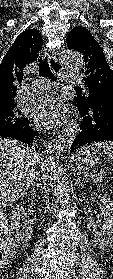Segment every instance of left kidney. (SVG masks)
<instances>
[{"label":"left kidney","mask_w":113,"mask_h":279,"mask_svg":"<svg viewBox=\"0 0 113 279\" xmlns=\"http://www.w3.org/2000/svg\"><path fill=\"white\" fill-rule=\"evenodd\" d=\"M94 195V197L91 195L90 199L98 198L101 202L102 211L100 217L103 219L102 221L98 219L96 224L93 225L94 239L96 246L100 249H104L111 246L113 242V201L107 197ZM101 222L102 231L99 232L98 227Z\"/></svg>","instance_id":"obj_1"}]
</instances>
